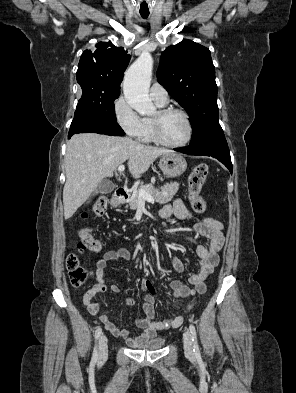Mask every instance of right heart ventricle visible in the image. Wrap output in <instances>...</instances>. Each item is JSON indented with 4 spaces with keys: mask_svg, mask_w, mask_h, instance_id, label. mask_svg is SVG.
Returning <instances> with one entry per match:
<instances>
[{
    "mask_svg": "<svg viewBox=\"0 0 296 393\" xmlns=\"http://www.w3.org/2000/svg\"><path fill=\"white\" fill-rule=\"evenodd\" d=\"M156 105L159 107H162L161 105H158V104H156ZM143 125H144L143 135L140 139L145 143L154 142L155 140L153 137L152 119L151 118H144Z\"/></svg>",
    "mask_w": 296,
    "mask_h": 393,
    "instance_id": "1",
    "label": "right heart ventricle"
}]
</instances>
